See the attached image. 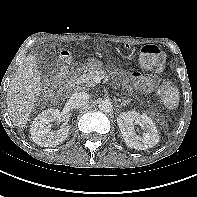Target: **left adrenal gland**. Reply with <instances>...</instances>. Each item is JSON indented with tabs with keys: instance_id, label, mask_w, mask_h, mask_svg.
Returning a JSON list of instances; mask_svg holds the SVG:
<instances>
[{
	"instance_id": "1",
	"label": "left adrenal gland",
	"mask_w": 197,
	"mask_h": 197,
	"mask_svg": "<svg viewBox=\"0 0 197 197\" xmlns=\"http://www.w3.org/2000/svg\"><path fill=\"white\" fill-rule=\"evenodd\" d=\"M131 101V99H127V100H123L121 102V100L119 99V102H121L120 106H125L126 104H128Z\"/></svg>"
}]
</instances>
